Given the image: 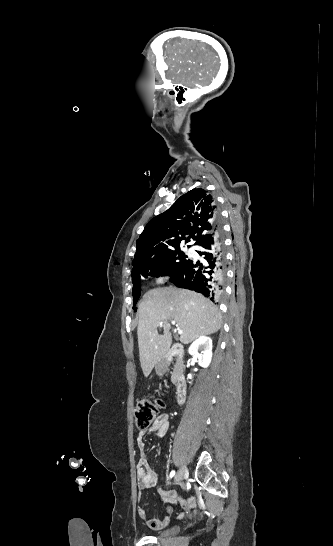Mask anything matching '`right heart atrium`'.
<instances>
[{"label": "right heart atrium", "instance_id": "1", "mask_svg": "<svg viewBox=\"0 0 333 546\" xmlns=\"http://www.w3.org/2000/svg\"><path fill=\"white\" fill-rule=\"evenodd\" d=\"M168 278V275L167 274H161L159 275V277L157 278V283H163L165 280H167Z\"/></svg>", "mask_w": 333, "mask_h": 546}]
</instances>
